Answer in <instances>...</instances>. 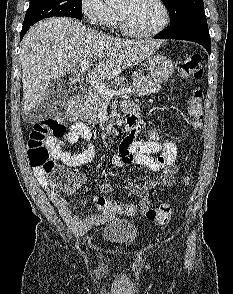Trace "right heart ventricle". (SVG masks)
<instances>
[{
	"label": "right heart ventricle",
	"instance_id": "obj_1",
	"mask_svg": "<svg viewBox=\"0 0 233 294\" xmlns=\"http://www.w3.org/2000/svg\"><path fill=\"white\" fill-rule=\"evenodd\" d=\"M119 24H120L119 14L116 12V17H115L114 25H119Z\"/></svg>",
	"mask_w": 233,
	"mask_h": 294
}]
</instances>
